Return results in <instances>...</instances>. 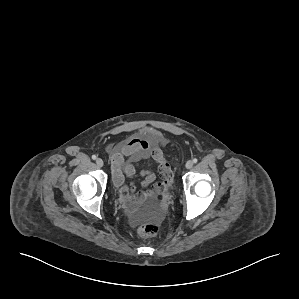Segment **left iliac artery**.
<instances>
[{
	"label": "left iliac artery",
	"instance_id": "left-iliac-artery-1",
	"mask_svg": "<svg viewBox=\"0 0 299 299\" xmlns=\"http://www.w3.org/2000/svg\"><path fill=\"white\" fill-rule=\"evenodd\" d=\"M197 161H198V160H197L196 158L193 159V163H197Z\"/></svg>",
	"mask_w": 299,
	"mask_h": 299
}]
</instances>
